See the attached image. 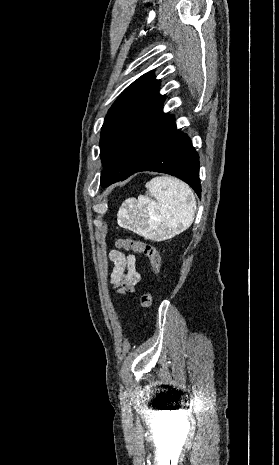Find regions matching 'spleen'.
Masks as SVG:
<instances>
[{"label":"spleen","instance_id":"obj_1","mask_svg":"<svg viewBox=\"0 0 279 465\" xmlns=\"http://www.w3.org/2000/svg\"><path fill=\"white\" fill-rule=\"evenodd\" d=\"M149 196L128 198L117 213L118 225L147 239L166 240L188 229L194 221L196 200L185 183L155 177L145 185Z\"/></svg>","mask_w":279,"mask_h":465}]
</instances>
